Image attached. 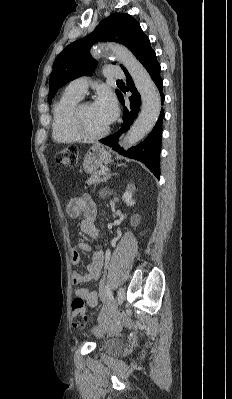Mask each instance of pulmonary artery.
I'll list each match as a JSON object with an SVG mask.
<instances>
[{
    "label": "pulmonary artery",
    "instance_id": "e3ab8cb5",
    "mask_svg": "<svg viewBox=\"0 0 232 399\" xmlns=\"http://www.w3.org/2000/svg\"><path fill=\"white\" fill-rule=\"evenodd\" d=\"M109 69H106L105 74L109 76L110 80H123L124 75L122 69H116V63H109ZM89 90L84 87V81H71L68 83V89H65V96H88Z\"/></svg>",
    "mask_w": 232,
    "mask_h": 399
}]
</instances>
